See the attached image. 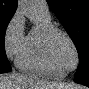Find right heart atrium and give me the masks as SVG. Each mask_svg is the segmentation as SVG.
<instances>
[{"mask_svg":"<svg viewBox=\"0 0 89 89\" xmlns=\"http://www.w3.org/2000/svg\"><path fill=\"white\" fill-rule=\"evenodd\" d=\"M25 38L24 18L20 13H16L8 23L4 34V48L10 59L18 57Z\"/></svg>","mask_w":89,"mask_h":89,"instance_id":"obj_1","label":"right heart atrium"}]
</instances>
